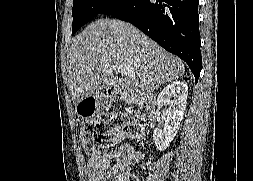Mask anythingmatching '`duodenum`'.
I'll use <instances>...</instances> for the list:
<instances>
[{
	"mask_svg": "<svg viewBox=\"0 0 253 181\" xmlns=\"http://www.w3.org/2000/svg\"><path fill=\"white\" fill-rule=\"evenodd\" d=\"M109 94L112 98H119L122 96V93L114 90H110ZM155 105V99L150 96H145L142 100L139 101L141 117L144 123L149 127L154 126L156 122Z\"/></svg>",
	"mask_w": 253,
	"mask_h": 181,
	"instance_id": "obj_1",
	"label": "duodenum"
}]
</instances>
